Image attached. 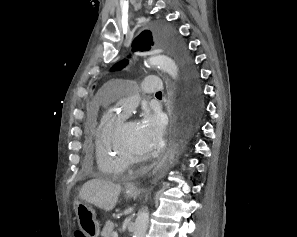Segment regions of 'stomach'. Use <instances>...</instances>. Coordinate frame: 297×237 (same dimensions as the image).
<instances>
[{"mask_svg":"<svg viewBox=\"0 0 297 237\" xmlns=\"http://www.w3.org/2000/svg\"><path fill=\"white\" fill-rule=\"evenodd\" d=\"M137 195L138 191H126V196L128 198H133ZM75 212L79 228L84 236L98 237L100 233V224L96 220L94 209L87 203L79 202L75 206Z\"/></svg>","mask_w":297,"mask_h":237,"instance_id":"obj_1","label":"stomach"}]
</instances>
